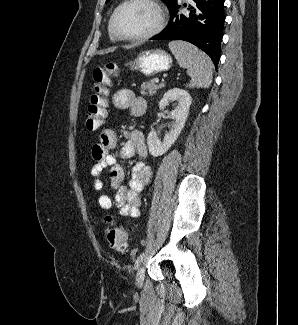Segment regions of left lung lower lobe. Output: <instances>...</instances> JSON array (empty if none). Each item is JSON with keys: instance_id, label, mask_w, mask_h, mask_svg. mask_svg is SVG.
I'll return each instance as SVG.
<instances>
[{"instance_id": "obj_1", "label": "left lung lower lobe", "mask_w": 298, "mask_h": 325, "mask_svg": "<svg viewBox=\"0 0 298 325\" xmlns=\"http://www.w3.org/2000/svg\"><path fill=\"white\" fill-rule=\"evenodd\" d=\"M224 1L193 0L188 5L190 13L183 14L175 0L169 6L170 22L152 40L175 39L190 42L206 52L217 68L225 21Z\"/></svg>"}]
</instances>
